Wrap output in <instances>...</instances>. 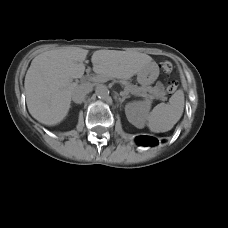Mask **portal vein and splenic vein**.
<instances>
[{
  "instance_id": "portal-vein-and-splenic-vein-1",
  "label": "portal vein and splenic vein",
  "mask_w": 228,
  "mask_h": 228,
  "mask_svg": "<svg viewBox=\"0 0 228 228\" xmlns=\"http://www.w3.org/2000/svg\"><path fill=\"white\" fill-rule=\"evenodd\" d=\"M90 79H92V80H94V81H97L96 78H90ZM123 93H124V94H127V93H125V92H123ZM136 95H139V96H141V97L148 98V96H147L146 94H136Z\"/></svg>"
}]
</instances>
